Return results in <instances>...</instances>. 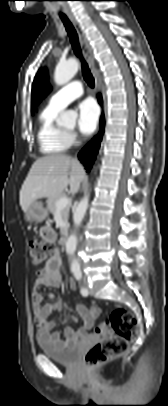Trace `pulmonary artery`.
Segmentation results:
<instances>
[{
    "mask_svg": "<svg viewBox=\"0 0 168 406\" xmlns=\"http://www.w3.org/2000/svg\"><path fill=\"white\" fill-rule=\"evenodd\" d=\"M82 94L83 84L79 80H75L56 91L50 97L48 105L56 109H63Z\"/></svg>",
    "mask_w": 168,
    "mask_h": 406,
    "instance_id": "e3ab8cb5",
    "label": "pulmonary artery"
}]
</instances>
